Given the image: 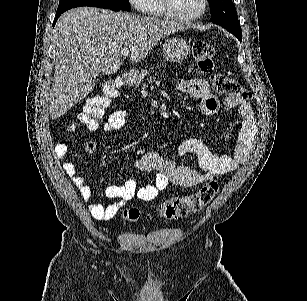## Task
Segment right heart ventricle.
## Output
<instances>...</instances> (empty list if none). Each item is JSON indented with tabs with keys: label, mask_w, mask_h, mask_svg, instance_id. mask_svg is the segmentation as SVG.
Segmentation results:
<instances>
[{
	"label": "right heart ventricle",
	"mask_w": 307,
	"mask_h": 301,
	"mask_svg": "<svg viewBox=\"0 0 307 301\" xmlns=\"http://www.w3.org/2000/svg\"><path fill=\"white\" fill-rule=\"evenodd\" d=\"M148 8H164V1L162 0H148Z\"/></svg>",
	"instance_id": "right-heart-ventricle-1"
}]
</instances>
